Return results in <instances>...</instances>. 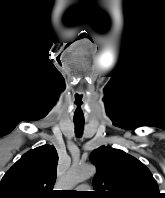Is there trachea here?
<instances>
[{"instance_id":"3493384b","label":"trachea","mask_w":165,"mask_h":198,"mask_svg":"<svg viewBox=\"0 0 165 198\" xmlns=\"http://www.w3.org/2000/svg\"><path fill=\"white\" fill-rule=\"evenodd\" d=\"M77 136H80L83 131L84 121H74Z\"/></svg>"}]
</instances>
